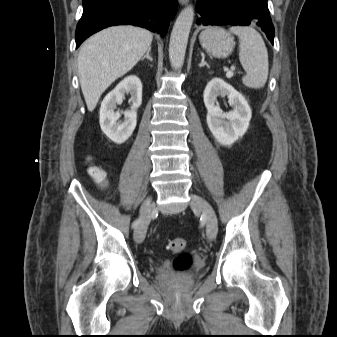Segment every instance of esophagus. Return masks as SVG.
<instances>
[{"instance_id": "1", "label": "esophagus", "mask_w": 337, "mask_h": 337, "mask_svg": "<svg viewBox=\"0 0 337 337\" xmlns=\"http://www.w3.org/2000/svg\"><path fill=\"white\" fill-rule=\"evenodd\" d=\"M180 4L185 5L188 3V0H178Z\"/></svg>"}]
</instances>
